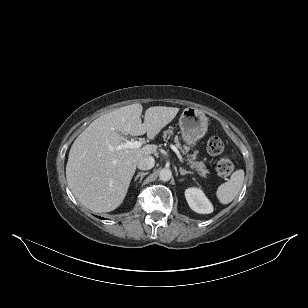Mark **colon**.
I'll list each match as a JSON object with an SVG mask.
<instances>
[{"label": "colon", "mask_w": 308, "mask_h": 308, "mask_svg": "<svg viewBox=\"0 0 308 308\" xmlns=\"http://www.w3.org/2000/svg\"><path fill=\"white\" fill-rule=\"evenodd\" d=\"M207 151L211 155H222L225 152V144L219 137H211L207 143ZM234 169V163L230 156L223 155L217 162L216 171L220 177L229 176Z\"/></svg>", "instance_id": "5ec220e1"}]
</instances>
